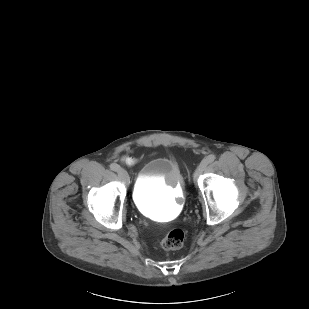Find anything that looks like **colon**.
<instances>
[{
    "label": "colon",
    "instance_id": "5ec220e1",
    "mask_svg": "<svg viewBox=\"0 0 309 309\" xmlns=\"http://www.w3.org/2000/svg\"><path fill=\"white\" fill-rule=\"evenodd\" d=\"M184 238L185 235L181 229H172L161 241V247L165 250L178 249L183 245Z\"/></svg>",
    "mask_w": 309,
    "mask_h": 309
}]
</instances>
